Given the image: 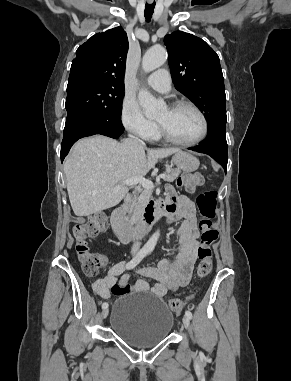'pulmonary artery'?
I'll return each instance as SVG.
<instances>
[{
	"instance_id": "1",
	"label": "pulmonary artery",
	"mask_w": 291,
	"mask_h": 381,
	"mask_svg": "<svg viewBox=\"0 0 291 381\" xmlns=\"http://www.w3.org/2000/svg\"><path fill=\"white\" fill-rule=\"evenodd\" d=\"M146 83L161 93H167L171 89L170 75L166 69H159L151 73L147 77Z\"/></svg>"
}]
</instances>
